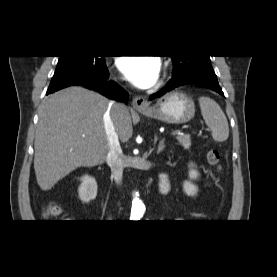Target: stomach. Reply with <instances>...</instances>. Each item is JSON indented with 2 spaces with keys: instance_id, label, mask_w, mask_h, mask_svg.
<instances>
[{
  "instance_id": "stomach-1",
  "label": "stomach",
  "mask_w": 277,
  "mask_h": 277,
  "mask_svg": "<svg viewBox=\"0 0 277 277\" xmlns=\"http://www.w3.org/2000/svg\"><path fill=\"white\" fill-rule=\"evenodd\" d=\"M139 112L167 124H183L194 117L195 104L186 94L173 91L161 97L153 107Z\"/></svg>"
}]
</instances>
